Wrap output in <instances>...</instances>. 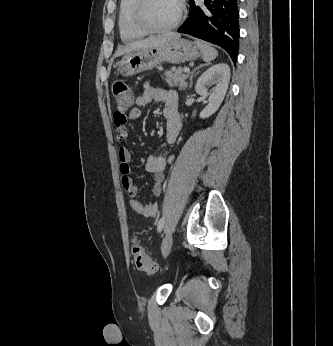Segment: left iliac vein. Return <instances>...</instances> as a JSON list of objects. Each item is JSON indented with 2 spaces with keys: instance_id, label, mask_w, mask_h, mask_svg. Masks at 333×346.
Returning a JSON list of instances; mask_svg holds the SVG:
<instances>
[{
  "instance_id": "4c4485c4",
  "label": "left iliac vein",
  "mask_w": 333,
  "mask_h": 346,
  "mask_svg": "<svg viewBox=\"0 0 333 346\" xmlns=\"http://www.w3.org/2000/svg\"><path fill=\"white\" fill-rule=\"evenodd\" d=\"M172 243H173L172 234L168 233L164 237L162 244H161V252H162L163 257H166L169 254L171 247H172Z\"/></svg>"
}]
</instances>
